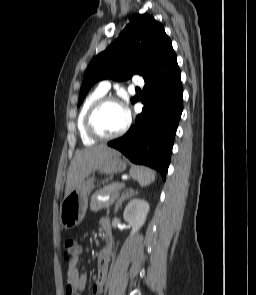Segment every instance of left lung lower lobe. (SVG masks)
<instances>
[{"label": "left lung lower lobe", "mask_w": 256, "mask_h": 295, "mask_svg": "<svg viewBox=\"0 0 256 295\" xmlns=\"http://www.w3.org/2000/svg\"><path fill=\"white\" fill-rule=\"evenodd\" d=\"M144 108L134 128L108 146L121 151L132 162L161 172L166 178L174 135L183 110V88L177 62L159 75L145 80Z\"/></svg>", "instance_id": "obj_1"}]
</instances>
